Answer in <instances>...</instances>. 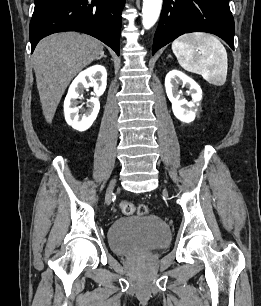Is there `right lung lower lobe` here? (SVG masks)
Here are the masks:
<instances>
[{"mask_svg": "<svg viewBox=\"0 0 261 306\" xmlns=\"http://www.w3.org/2000/svg\"><path fill=\"white\" fill-rule=\"evenodd\" d=\"M29 36L34 51L45 36L79 31L104 42L119 55L121 12L125 0H34Z\"/></svg>", "mask_w": 261, "mask_h": 306, "instance_id": "98d812e1", "label": "right lung lower lobe"}]
</instances>
